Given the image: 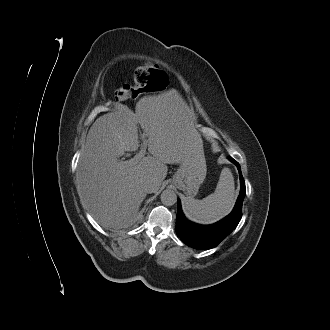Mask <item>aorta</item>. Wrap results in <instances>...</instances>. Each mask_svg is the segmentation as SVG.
Instances as JSON below:
<instances>
[{"label":"aorta","mask_w":330,"mask_h":330,"mask_svg":"<svg viewBox=\"0 0 330 330\" xmlns=\"http://www.w3.org/2000/svg\"><path fill=\"white\" fill-rule=\"evenodd\" d=\"M161 202L165 206H172L177 202V195L175 191L166 189L161 193Z\"/></svg>","instance_id":"762f6f07"}]
</instances>
